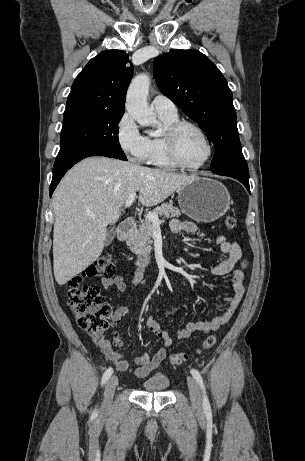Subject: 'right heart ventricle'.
I'll return each instance as SVG.
<instances>
[{"instance_id":"e07e8e85","label":"right heart ventricle","mask_w":305,"mask_h":461,"mask_svg":"<svg viewBox=\"0 0 305 461\" xmlns=\"http://www.w3.org/2000/svg\"><path fill=\"white\" fill-rule=\"evenodd\" d=\"M158 116L161 120L162 127L157 133H151L145 137V152L142 160L148 165L164 169H175L177 166L170 161L166 154L163 138L167 127L178 121V116L177 114H158Z\"/></svg>"}]
</instances>
